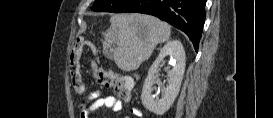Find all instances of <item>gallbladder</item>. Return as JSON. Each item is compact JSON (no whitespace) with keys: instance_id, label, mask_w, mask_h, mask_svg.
Returning a JSON list of instances; mask_svg holds the SVG:
<instances>
[{"instance_id":"obj_1","label":"gallbladder","mask_w":273,"mask_h":118,"mask_svg":"<svg viewBox=\"0 0 273 118\" xmlns=\"http://www.w3.org/2000/svg\"><path fill=\"white\" fill-rule=\"evenodd\" d=\"M103 52L104 54L107 56V57H111L112 54H113V50L112 48L110 47V45H106L103 49Z\"/></svg>"}]
</instances>
